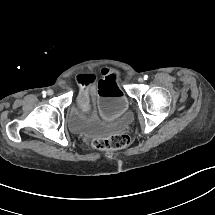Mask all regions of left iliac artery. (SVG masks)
Instances as JSON below:
<instances>
[{
	"mask_svg": "<svg viewBox=\"0 0 215 215\" xmlns=\"http://www.w3.org/2000/svg\"><path fill=\"white\" fill-rule=\"evenodd\" d=\"M147 79H148V76H147V75H145V76H144V80H147Z\"/></svg>",
	"mask_w": 215,
	"mask_h": 215,
	"instance_id": "left-iliac-artery-1",
	"label": "left iliac artery"
}]
</instances>
